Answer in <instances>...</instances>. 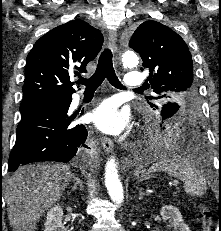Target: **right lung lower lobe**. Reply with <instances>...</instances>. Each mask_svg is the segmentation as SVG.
Here are the masks:
<instances>
[{
	"instance_id": "98d812e1",
	"label": "right lung lower lobe",
	"mask_w": 221,
	"mask_h": 231,
	"mask_svg": "<svg viewBox=\"0 0 221 231\" xmlns=\"http://www.w3.org/2000/svg\"><path fill=\"white\" fill-rule=\"evenodd\" d=\"M71 101V96L49 99L20 110L9 171L31 162L66 163L79 147H86L88 130L84 125L72 124L75 115L68 113Z\"/></svg>"
}]
</instances>
